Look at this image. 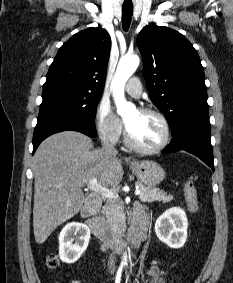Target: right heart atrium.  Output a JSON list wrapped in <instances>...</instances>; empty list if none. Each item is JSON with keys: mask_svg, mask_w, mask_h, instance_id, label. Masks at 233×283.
I'll list each match as a JSON object with an SVG mask.
<instances>
[{"mask_svg": "<svg viewBox=\"0 0 233 283\" xmlns=\"http://www.w3.org/2000/svg\"><path fill=\"white\" fill-rule=\"evenodd\" d=\"M95 126L102 140L115 144L119 141L123 125L108 103L101 101L95 113Z\"/></svg>", "mask_w": 233, "mask_h": 283, "instance_id": "d8ad5b80", "label": "right heart atrium"}]
</instances>
